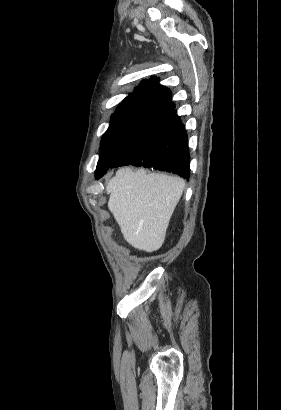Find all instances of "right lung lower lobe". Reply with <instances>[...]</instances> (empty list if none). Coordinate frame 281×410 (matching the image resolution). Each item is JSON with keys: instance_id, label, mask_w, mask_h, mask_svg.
<instances>
[{"instance_id": "1", "label": "right lung lower lobe", "mask_w": 281, "mask_h": 410, "mask_svg": "<svg viewBox=\"0 0 281 410\" xmlns=\"http://www.w3.org/2000/svg\"><path fill=\"white\" fill-rule=\"evenodd\" d=\"M189 161L186 130L173 109L122 155L112 168L131 164L172 172L188 179ZM105 172L96 178H101Z\"/></svg>"}]
</instances>
